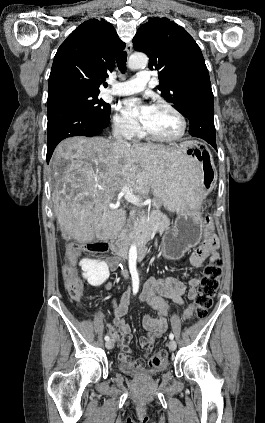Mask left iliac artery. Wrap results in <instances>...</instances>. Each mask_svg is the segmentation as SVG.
I'll use <instances>...</instances> for the list:
<instances>
[{
	"mask_svg": "<svg viewBox=\"0 0 265 423\" xmlns=\"http://www.w3.org/2000/svg\"><path fill=\"white\" fill-rule=\"evenodd\" d=\"M169 338L172 340L174 338V335L172 333H170Z\"/></svg>",
	"mask_w": 265,
	"mask_h": 423,
	"instance_id": "obj_1",
	"label": "left iliac artery"
}]
</instances>
